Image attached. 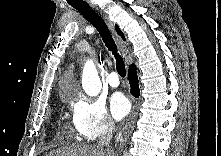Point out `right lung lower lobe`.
<instances>
[{"label":"right lung lower lobe","instance_id":"1","mask_svg":"<svg viewBox=\"0 0 221 156\" xmlns=\"http://www.w3.org/2000/svg\"><path fill=\"white\" fill-rule=\"evenodd\" d=\"M128 79L131 87V94L138 98L140 95V89L138 84V77L136 72V66L134 64L129 66Z\"/></svg>","mask_w":221,"mask_h":156}]
</instances>
